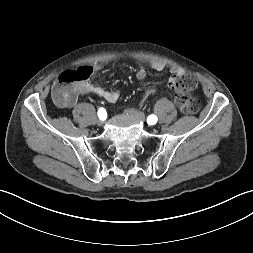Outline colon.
<instances>
[{
  "mask_svg": "<svg viewBox=\"0 0 253 253\" xmlns=\"http://www.w3.org/2000/svg\"><path fill=\"white\" fill-rule=\"evenodd\" d=\"M91 69L80 67L68 70L59 75L53 90L52 96L59 105H67L75 98V86L79 82L89 78ZM197 86V79L194 75L183 73L179 76L172 77L169 81V87L175 95V101L181 112L184 114H195L200 109V102L192 95V91ZM158 88L152 86L142 95L139 105L142 107L149 97L154 96Z\"/></svg>",
  "mask_w": 253,
  "mask_h": 253,
  "instance_id": "5ec220e1",
  "label": "colon"
}]
</instances>
